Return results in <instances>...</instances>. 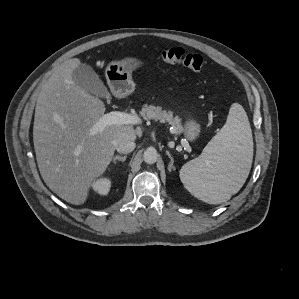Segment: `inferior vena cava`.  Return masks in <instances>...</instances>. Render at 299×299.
Instances as JSON below:
<instances>
[{
  "instance_id": "obj_1",
  "label": "inferior vena cava",
  "mask_w": 299,
  "mask_h": 299,
  "mask_svg": "<svg viewBox=\"0 0 299 299\" xmlns=\"http://www.w3.org/2000/svg\"><path fill=\"white\" fill-rule=\"evenodd\" d=\"M135 142L131 140H122L120 141L117 146L116 150L120 154H128L131 153L135 149Z\"/></svg>"
}]
</instances>
